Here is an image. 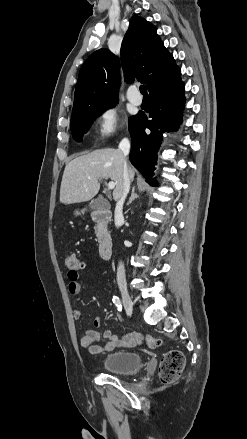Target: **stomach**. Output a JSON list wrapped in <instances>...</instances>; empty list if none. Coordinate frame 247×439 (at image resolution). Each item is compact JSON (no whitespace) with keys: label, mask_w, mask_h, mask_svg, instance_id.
<instances>
[{"label":"stomach","mask_w":247,"mask_h":439,"mask_svg":"<svg viewBox=\"0 0 247 439\" xmlns=\"http://www.w3.org/2000/svg\"><path fill=\"white\" fill-rule=\"evenodd\" d=\"M74 214H75V215H78V214H79V212H78V211H75V212H74Z\"/></svg>","instance_id":"stomach-1"}]
</instances>
